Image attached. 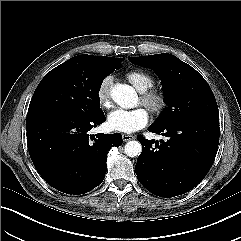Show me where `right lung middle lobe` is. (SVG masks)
Here are the masks:
<instances>
[{
  "label": "right lung middle lobe",
  "instance_id": "right-lung-middle-lobe-1",
  "mask_svg": "<svg viewBox=\"0 0 241 241\" xmlns=\"http://www.w3.org/2000/svg\"><path fill=\"white\" fill-rule=\"evenodd\" d=\"M120 62L85 60L75 56L52 69L37 86L28 116L63 112L91 117L102 112L99 90Z\"/></svg>",
  "mask_w": 241,
  "mask_h": 241
}]
</instances>
